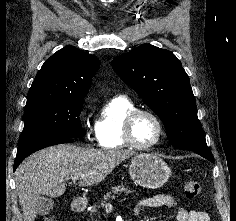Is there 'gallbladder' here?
I'll return each mask as SVG.
<instances>
[{"mask_svg":"<svg viewBox=\"0 0 236 221\" xmlns=\"http://www.w3.org/2000/svg\"><path fill=\"white\" fill-rule=\"evenodd\" d=\"M54 202L51 198L41 196L38 199L36 213L38 215H47L53 209Z\"/></svg>","mask_w":236,"mask_h":221,"instance_id":"1","label":"gallbladder"}]
</instances>
